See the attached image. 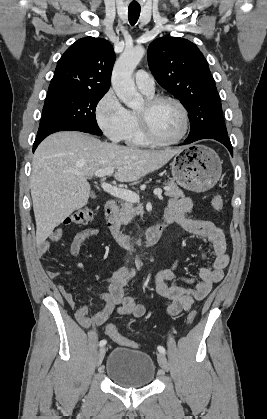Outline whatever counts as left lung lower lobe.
I'll use <instances>...</instances> for the list:
<instances>
[{
	"label": "left lung lower lobe",
	"mask_w": 267,
	"mask_h": 419,
	"mask_svg": "<svg viewBox=\"0 0 267 419\" xmlns=\"http://www.w3.org/2000/svg\"><path fill=\"white\" fill-rule=\"evenodd\" d=\"M206 138L215 139L221 142L223 145H225L228 148L231 155H233V149H232V145L228 137V134L224 133L219 136L214 135L212 129L210 128V125L203 120L201 122H197L193 124L192 126H190L189 136L184 141V143L190 144L197 140L206 139Z\"/></svg>",
	"instance_id": "1"
}]
</instances>
